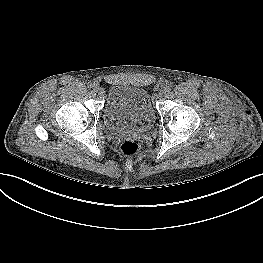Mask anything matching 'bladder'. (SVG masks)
Listing matches in <instances>:
<instances>
[{"label": "bladder", "instance_id": "bladder-1", "mask_svg": "<svg viewBox=\"0 0 263 263\" xmlns=\"http://www.w3.org/2000/svg\"><path fill=\"white\" fill-rule=\"evenodd\" d=\"M109 131L146 132L154 124L155 112L145 90L125 85H111L103 111Z\"/></svg>", "mask_w": 263, "mask_h": 263}]
</instances>
